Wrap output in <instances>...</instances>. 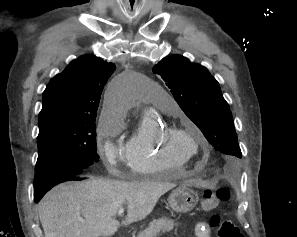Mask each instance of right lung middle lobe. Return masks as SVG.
I'll use <instances>...</instances> for the list:
<instances>
[{
    "mask_svg": "<svg viewBox=\"0 0 297 237\" xmlns=\"http://www.w3.org/2000/svg\"><path fill=\"white\" fill-rule=\"evenodd\" d=\"M98 158L95 117H60L39 124L34 188L49 186L62 170L84 172Z\"/></svg>",
    "mask_w": 297,
    "mask_h": 237,
    "instance_id": "1",
    "label": "right lung middle lobe"
}]
</instances>
